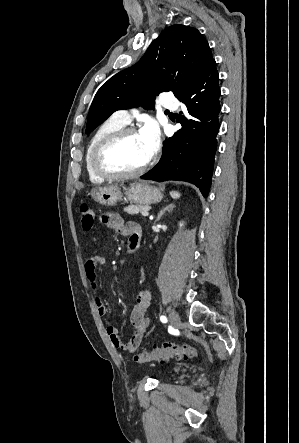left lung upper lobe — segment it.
Instances as JSON below:
<instances>
[{"instance_id": "5c2ea615", "label": "left lung upper lobe", "mask_w": 299, "mask_h": 443, "mask_svg": "<svg viewBox=\"0 0 299 443\" xmlns=\"http://www.w3.org/2000/svg\"><path fill=\"white\" fill-rule=\"evenodd\" d=\"M213 60L207 41L197 29L180 24L168 27L135 65L115 74L99 88L89 110L86 133L116 110L139 105L152 108L160 92L172 91L180 97ZM162 68L178 74H164Z\"/></svg>"}]
</instances>
